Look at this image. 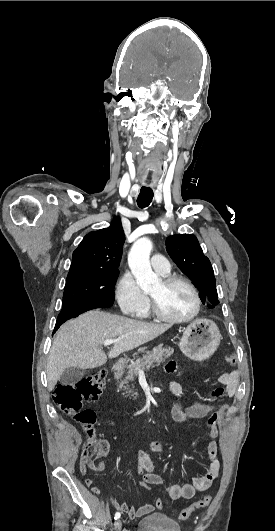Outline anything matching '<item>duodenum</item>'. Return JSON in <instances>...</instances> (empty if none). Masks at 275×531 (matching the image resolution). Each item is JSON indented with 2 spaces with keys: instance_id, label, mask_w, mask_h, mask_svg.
I'll use <instances>...</instances> for the list:
<instances>
[{
  "instance_id": "duodenum-1",
  "label": "duodenum",
  "mask_w": 275,
  "mask_h": 531,
  "mask_svg": "<svg viewBox=\"0 0 275 531\" xmlns=\"http://www.w3.org/2000/svg\"><path fill=\"white\" fill-rule=\"evenodd\" d=\"M126 365V360L124 357H121L118 359V361L115 363V365L112 367V371L118 372Z\"/></svg>"
}]
</instances>
